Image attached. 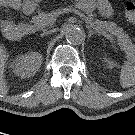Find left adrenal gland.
Instances as JSON below:
<instances>
[{
  "instance_id": "obj_1",
  "label": "left adrenal gland",
  "mask_w": 135,
  "mask_h": 135,
  "mask_svg": "<svg viewBox=\"0 0 135 135\" xmlns=\"http://www.w3.org/2000/svg\"><path fill=\"white\" fill-rule=\"evenodd\" d=\"M86 27H87L88 30H89L88 38H91V36H92L93 34H96V33H97V31H93L89 25H87ZM98 34H101V33L98 32Z\"/></svg>"
}]
</instances>
